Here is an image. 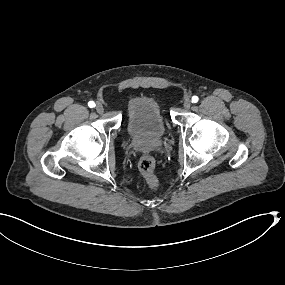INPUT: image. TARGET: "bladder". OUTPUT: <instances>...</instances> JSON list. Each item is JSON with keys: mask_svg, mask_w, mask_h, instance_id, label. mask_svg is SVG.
Here are the masks:
<instances>
[{"mask_svg": "<svg viewBox=\"0 0 285 285\" xmlns=\"http://www.w3.org/2000/svg\"><path fill=\"white\" fill-rule=\"evenodd\" d=\"M128 110L125 134L132 141L153 144L167 135L162 107L152 93H133L126 100Z\"/></svg>", "mask_w": 285, "mask_h": 285, "instance_id": "1", "label": "bladder"}]
</instances>
